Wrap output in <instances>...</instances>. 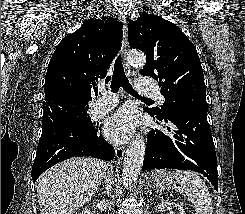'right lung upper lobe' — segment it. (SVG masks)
Returning a JSON list of instances; mask_svg holds the SVG:
<instances>
[{"label": "right lung upper lobe", "mask_w": 245, "mask_h": 214, "mask_svg": "<svg viewBox=\"0 0 245 214\" xmlns=\"http://www.w3.org/2000/svg\"><path fill=\"white\" fill-rule=\"evenodd\" d=\"M122 36L121 23L104 17L86 20L61 40L46 73L43 129L67 123L88 109L91 96L98 94L96 81L110 79L106 73Z\"/></svg>", "instance_id": "1"}]
</instances>
